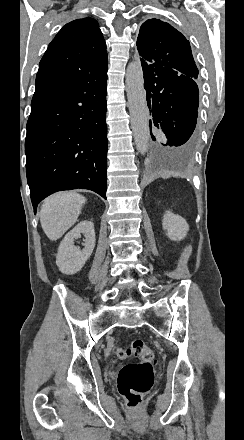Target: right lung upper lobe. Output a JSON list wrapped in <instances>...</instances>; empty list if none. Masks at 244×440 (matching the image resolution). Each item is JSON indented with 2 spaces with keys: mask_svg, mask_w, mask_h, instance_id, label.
Returning a JSON list of instances; mask_svg holds the SVG:
<instances>
[{
  "mask_svg": "<svg viewBox=\"0 0 244 440\" xmlns=\"http://www.w3.org/2000/svg\"><path fill=\"white\" fill-rule=\"evenodd\" d=\"M107 65L106 44L96 20L76 19L58 32L40 61L36 85Z\"/></svg>",
  "mask_w": 244,
  "mask_h": 440,
  "instance_id": "1",
  "label": "right lung upper lobe"
}]
</instances>
